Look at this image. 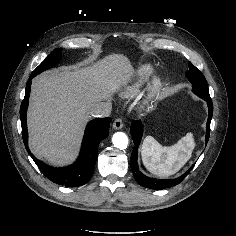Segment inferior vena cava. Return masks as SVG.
Returning a JSON list of instances; mask_svg holds the SVG:
<instances>
[{
  "mask_svg": "<svg viewBox=\"0 0 236 236\" xmlns=\"http://www.w3.org/2000/svg\"><path fill=\"white\" fill-rule=\"evenodd\" d=\"M89 114L93 117H107L111 114V105L107 102L96 103L90 108Z\"/></svg>",
  "mask_w": 236,
  "mask_h": 236,
  "instance_id": "inferior-vena-cava-1",
  "label": "inferior vena cava"
}]
</instances>
